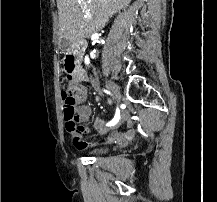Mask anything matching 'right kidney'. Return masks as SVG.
<instances>
[{
    "mask_svg": "<svg viewBox=\"0 0 217 202\" xmlns=\"http://www.w3.org/2000/svg\"><path fill=\"white\" fill-rule=\"evenodd\" d=\"M84 62H85V64H90V60H89L88 56H85Z\"/></svg>",
    "mask_w": 217,
    "mask_h": 202,
    "instance_id": "obj_1",
    "label": "right kidney"
}]
</instances>
